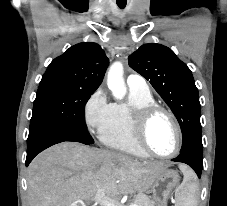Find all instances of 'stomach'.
<instances>
[{"label":"stomach","instance_id":"0dacf381","mask_svg":"<svg viewBox=\"0 0 227 206\" xmlns=\"http://www.w3.org/2000/svg\"><path fill=\"white\" fill-rule=\"evenodd\" d=\"M179 183V175L175 170L166 169L160 173L151 186L156 206H166L170 193Z\"/></svg>","mask_w":227,"mask_h":206}]
</instances>
